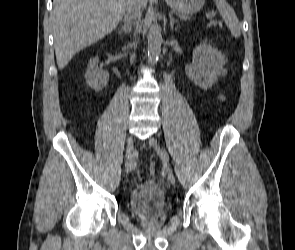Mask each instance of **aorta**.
<instances>
[{"label":"aorta","mask_w":295,"mask_h":250,"mask_svg":"<svg viewBox=\"0 0 295 250\" xmlns=\"http://www.w3.org/2000/svg\"><path fill=\"white\" fill-rule=\"evenodd\" d=\"M147 40L148 62L155 64L159 59L163 42L161 27L156 22L150 25Z\"/></svg>","instance_id":"obj_1"}]
</instances>
